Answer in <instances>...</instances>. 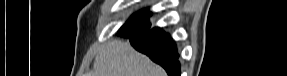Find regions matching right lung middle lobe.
Segmentation results:
<instances>
[{"instance_id":"obj_1","label":"right lung middle lobe","mask_w":287,"mask_h":76,"mask_svg":"<svg viewBox=\"0 0 287 76\" xmlns=\"http://www.w3.org/2000/svg\"><path fill=\"white\" fill-rule=\"evenodd\" d=\"M151 13L148 10H142L134 14L119 30L118 35L128 37L134 34H142L149 27V17Z\"/></svg>"}]
</instances>
